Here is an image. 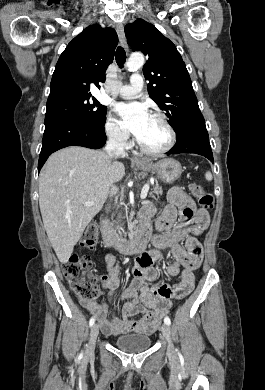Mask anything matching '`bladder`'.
<instances>
[{"label": "bladder", "instance_id": "1", "mask_svg": "<svg viewBox=\"0 0 265 390\" xmlns=\"http://www.w3.org/2000/svg\"><path fill=\"white\" fill-rule=\"evenodd\" d=\"M114 345L117 349L128 352L137 353L145 351L151 345V338L146 335H124L115 338Z\"/></svg>", "mask_w": 265, "mask_h": 390}]
</instances>
